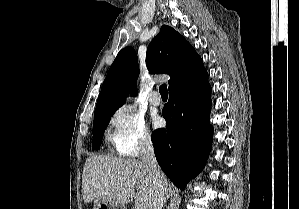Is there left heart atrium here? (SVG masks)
I'll list each match as a JSON object with an SVG mask.
<instances>
[{
  "label": "left heart atrium",
  "mask_w": 299,
  "mask_h": 209,
  "mask_svg": "<svg viewBox=\"0 0 299 209\" xmlns=\"http://www.w3.org/2000/svg\"><path fill=\"white\" fill-rule=\"evenodd\" d=\"M153 125H154L155 127H159V126L161 125V120H160V118L155 117V118L153 119Z\"/></svg>",
  "instance_id": "left-heart-atrium-1"
}]
</instances>
